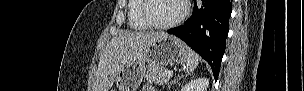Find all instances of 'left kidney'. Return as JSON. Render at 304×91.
<instances>
[{"label":"left kidney","instance_id":"1","mask_svg":"<svg viewBox=\"0 0 304 91\" xmlns=\"http://www.w3.org/2000/svg\"><path fill=\"white\" fill-rule=\"evenodd\" d=\"M208 85L207 78H196L183 86L181 91H207Z\"/></svg>","mask_w":304,"mask_h":91}]
</instances>
